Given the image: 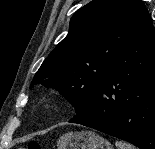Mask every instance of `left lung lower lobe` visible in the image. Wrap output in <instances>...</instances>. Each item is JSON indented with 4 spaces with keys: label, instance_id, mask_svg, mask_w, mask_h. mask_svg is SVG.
Wrapping results in <instances>:
<instances>
[{
    "label": "left lung lower lobe",
    "instance_id": "1",
    "mask_svg": "<svg viewBox=\"0 0 155 149\" xmlns=\"http://www.w3.org/2000/svg\"><path fill=\"white\" fill-rule=\"evenodd\" d=\"M140 149H155V29L144 15L88 104L72 119Z\"/></svg>",
    "mask_w": 155,
    "mask_h": 149
}]
</instances>
